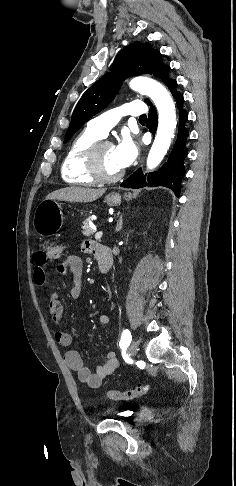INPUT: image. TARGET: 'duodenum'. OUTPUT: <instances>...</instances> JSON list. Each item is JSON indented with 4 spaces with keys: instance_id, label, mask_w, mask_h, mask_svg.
<instances>
[{
    "instance_id": "obj_1",
    "label": "duodenum",
    "mask_w": 236,
    "mask_h": 486,
    "mask_svg": "<svg viewBox=\"0 0 236 486\" xmlns=\"http://www.w3.org/2000/svg\"><path fill=\"white\" fill-rule=\"evenodd\" d=\"M95 254L98 259L100 271L102 273L108 272L113 262L111 249L108 246L97 244L95 247Z\"/></svg>"
}]
</instances>
